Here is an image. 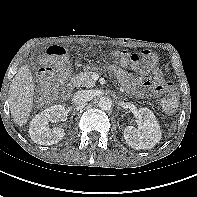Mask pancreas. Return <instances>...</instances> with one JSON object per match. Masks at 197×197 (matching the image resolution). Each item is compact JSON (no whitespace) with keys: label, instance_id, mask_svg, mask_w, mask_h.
Returning <instances> with one entry per match:
<instances>
[{"label":"pancreas","instance_id":"cf45deb5","mask_svg":"<svg viewBox=\"0 0 197 197\" xmlns=\"http://www.w3.org/2000/svg\"><path fill=\"white\" fill-rule=\"evenodd\" d=\"M72 87H86L91 88L95 86V81L91 78V72L86 71L74 75L70 82Z\"/></svg>","mask_w":197,"mask_h":197}]
</instances>
